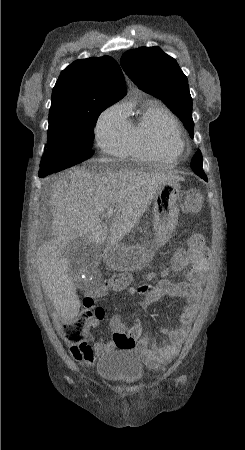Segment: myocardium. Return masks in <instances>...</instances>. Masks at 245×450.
Wrapping results in <instances>:
<instances>
[{
	"instance_id": "f54148a6",
	"label": "myocardium",
	"mask_w": 245,
	"mask_h": 450,
	"mask_svg": "<svg viewBox=\"0 0 245 450\" xmlns=\"http://www.w3.org/2000/svg\"><path fill=\"white\" fill-rule=\"evenodd\" d=\"M158 136L161 144L177 156L184 152L185 141L180 127L173 117H168L161 123Z\"/></svg>"
}]
</instances>
